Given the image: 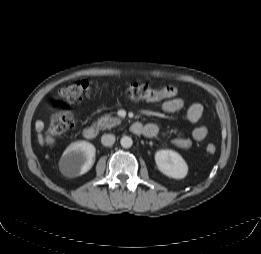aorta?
Wrapping results in <instances>:
<instances>
[{"label": "aorta", "mask_w": 261, "mask_h": 254, "mask_svg": "<svg viewBox=\"0 0 261 254\" xmlns=\"http://www.w3.org/2000/svg\"><path fill=\"white\" fill-rule=\"evenodd\" d=\"M120 143L123 148H130L133 144V141L129 136H123L120 140Z\"/></svg>", "instance_id": "762f6f07"}]
</instances>
